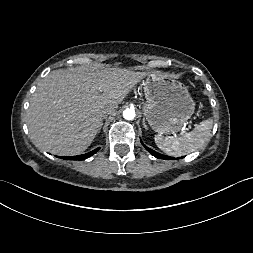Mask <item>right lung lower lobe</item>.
I'll return each instance as SVG.
<instances>
[{"mask_svg":"<svg viewBox=\"0 0 253 253\" xmlns=\"http://www.w3.org/2000/svg\"><path fill=\"white\" fill-rule=\"evenodd\" d=\"M100 148H96L95 150L83 154V155H79V156H71V157H61L62 159H67V160H84L87 159L88 157L92 156L93 154H95Z\"/></svg>","mask_w":253,"mask_h":253,"instance_id":"98d812e1","label":"right lung lower lobe"}]
</instances>
